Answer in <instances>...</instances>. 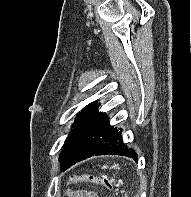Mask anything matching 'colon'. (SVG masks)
Listing matches in <instances>:
<instances>
[{"label":"colon","instance_id":"colon-1","mask_svg":"<svg viewBox=\"0 0 191 197\" xmlns=\"http://www.w3.org/2000/svg\"><path fill=\"white\" fill-rule=\"evenodd\" d=\"M69 180L74 183L97 184L107 187H118L121 183L120 180L115 177H109L106 175L95 176L91 174H75L72 175Z\"/></svg>","mask_w":191,"mask_h":197}]
</instances>
